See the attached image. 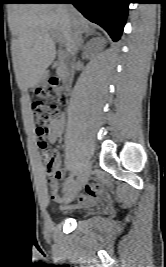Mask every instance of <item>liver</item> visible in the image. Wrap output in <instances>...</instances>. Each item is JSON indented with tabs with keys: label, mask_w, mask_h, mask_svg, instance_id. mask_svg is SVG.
I'll return each instance as SVG.
<instances>
[{
	"label": "liver",
	"mask_w": 166,
	"mask_h": 267,
	"mask_svg": "<svg viewBox=\"0 0 166 267\" xmlns=\"http://www.w3.org/2000/svg\"><path fill=\"white\" fill-rule=\"evenodd\" d=\"M89 31L88 21L72 5L22 4L17 7L13 61L20 89L37 85L47 67L56 56L55 43L50 36L56 31L73 53L72 31Z\"/></svg>",
	"instance_id": "obj_1"
}]
</instances>
